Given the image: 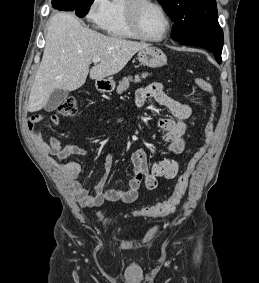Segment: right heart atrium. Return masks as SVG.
I'll use <instances>...</instances> for the list:
<instances>
[{"instance_id":"1","label":"right heart atrium","mask_w":259,"mask_h":283,"mask_svg":"<svg viewBox=\"0 0 259 283\" xmlns=\"http://www.w3.org/2000/svg\"><path fill=\"white\" fill-rule=\"evenodd\" d=\"M109 0H91L86 18L95 28H101L109 9Z\"/></svg>"}]
</instances>
